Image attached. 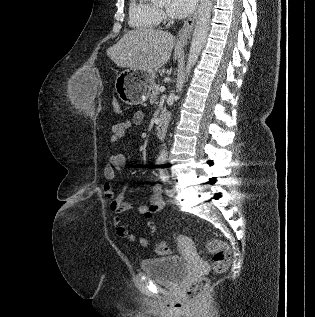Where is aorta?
Wrapping results in <instances>:
<instances>
[{
	"instance_id": "762f6f07",
	"label": "aorta",
	"mask_w": 315,
	"mask_h": 317,
	"mask_svg": "<svg viewBox=\"0 0 315 317\" xmlns=\"http://www.w3.org/2000/svg\"><path fill=\"white\" fill-rule=\"evenodd\" d=\"M160 1V0H153ZM214 0H200L198 15L196 19L195 29L192 36L190 51L187 59L185 79H188V76L191 72L192 67L197 62L199 55L206 43L210 19H211V10L213 7ZM166 158V151L163 149L160 153L159 160H164Z\"/></svg>"
}]
</instances>
